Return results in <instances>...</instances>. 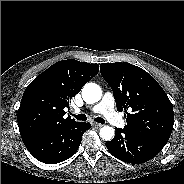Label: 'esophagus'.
<instances>
[{
	"label": "esophagus",
	"mask_w": 184,
	"mask_h": 184,
	"mask_svg": "<svg viewBox=\"0 0 184 184\" xmlns=\"http://www.w3.org/2000/svg\"><path fill=\"white\" fill-rule=\"evenodd\" d=\"M93 126H95L96 128H101L103 126V124L100 123H92Z\"/></svg>",
	"instance_id": "esophagus-1"
}]
</instances>
